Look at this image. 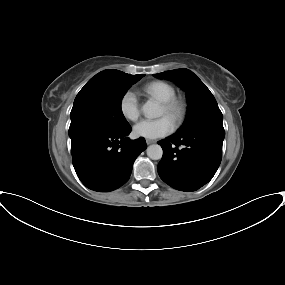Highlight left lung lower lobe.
I'll return each instance as SVG.
<instances>
[{"mask_svg":"<svg viewBox=\"0 0 285 285\" xmlns=\"http://www.w3.org/2000/svg\"><path fill=\"white\" fill-rule=\"evenodd\" d=\"M224 136V128L207 125L159 141L163 149L157 167L160 178L177 190L199 189L212 179L220 165Z\"/></svg>","mask_w":285,"mask_h":285,"instance_id":"1","label":"left lung lower lobe"}]
</instances>
